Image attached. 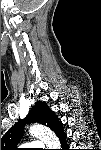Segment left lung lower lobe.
I'll return each instance as SVG.
<instances>
[{
	"label": "left lung lower lobe",
	"instance_id": "0a47b994",
	"mask_svg": "<svg viewBox=\"0 0 101 150\" xmlns=\"http://www.w3.org/2000/svg\"><path fill=\"white\" fill-rule=\"evenodd\" d=\"M58 138L60 139L61 146L66 148L68 146L67 143H66V140H65L66 139V133H64V131H62L59 134Z\"/></svg>",
	"mask_w": 101,
	"mask_h": 150
}]
</instances>
